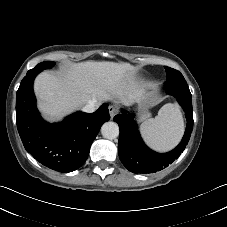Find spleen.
I'll list each match as a JSON object with an SVG mask.
<instances>
[{"mask_svg":"<svg viewBox=\"0 0 227 227\" xmlns=\"http://www.w3.org/2000/svg\"><path fill=\"white\" fill-rule=\"evenodd\" d=\"M141 133L146 143L157 151L174 148L184 133V122L177 104H165L155 118L141 124Z\"/></svg>","mask_w":227,"mask_h":227,"instance_id":"obj_1","label":"spleen"}]
</instances>
